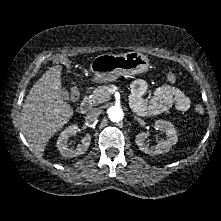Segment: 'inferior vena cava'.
Listing matches in <instances>:
<instances>
[{"label":"inferior vena cava","mask_w":221,"mask_h":221,"mask_svg":"<svg viewBox=\"0 0 221 221\" xmlns=\"http://www.w3.org/2000/svg\"><path fill=\"white\" fill-rule=\"evenodd\" d=\"M101 113V110L99 108H93L86 114V121L89 123H92L97 120Z\"/></svg>","instance_id":"obj_1"}]
</instances>
